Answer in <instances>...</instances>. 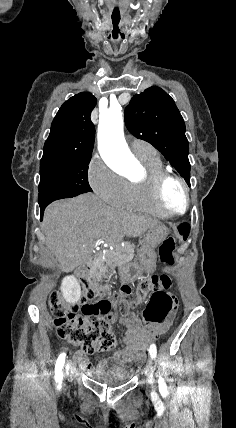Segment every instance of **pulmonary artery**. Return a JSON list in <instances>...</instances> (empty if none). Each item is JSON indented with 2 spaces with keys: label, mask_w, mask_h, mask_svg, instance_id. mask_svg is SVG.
I'll list each match as a JSON object with an SVG mask.
<instances>
[{
  "label": "pulmonary artery",
  "mask_w": 236,
  "mask_h": 428,
  "mask_svg": "<svg viewBox=\"0 0 236 428\" xmlns=\"http://www.w3.org/2000/svg\"><path fill=\"white\" fill-rule=\"evenodd\" d=\"M132 151L137 156H147L154 154V149L145 143L135 142L132 145Z\"/></svg>",
  "instance_id": "pulmonary-artery-1"
}]
</instances>
